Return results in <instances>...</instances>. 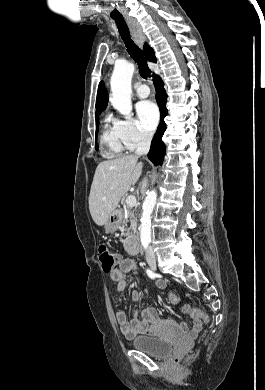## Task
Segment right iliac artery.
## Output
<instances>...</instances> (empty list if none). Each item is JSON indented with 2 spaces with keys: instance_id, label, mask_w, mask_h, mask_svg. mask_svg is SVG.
Instances as JSON below:
<instances>
[{
  "instance_id": "82829eb1",
  "label": "right iliac artery",
  "mask_w": 265,
  "mask_h": 390,
  "mask_svg": "<svg viewBox=\"0 0 265 390\" xmlns=\"http://www.w3.org/2000/svg\"><path fill=\"white\" fill-rule=\"evenodd\" d=\"M147 275L151 278V279H155L156 278V274L150 270V269H147Z\"/></svg>"
}]
</instances>
